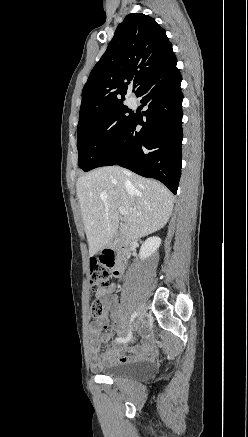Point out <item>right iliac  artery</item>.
I'll return each mask as SVG.
<instances>
[{"label":"right iliac artery","mask_w":248,"mask_h":437,"mask_svg":"<svg viewBox=\"0 0 248 437\" xmlns=\"http://www.w3.org/2000/svg\"><path fill=\"white\" fill-rule=\"evenodd\" d=\"M136 316H137V313L134 312V313L131 315L130 323H132V322L134 321V319L136 318ZM130 339H131V334H129V335H128L127 337H125V338H117V341L120 342V343H126V342H128Z\"/></svg>","instance_id":"82829eb1"}]
</instances>
